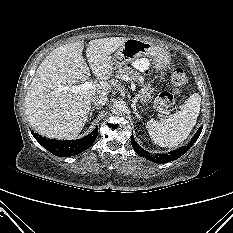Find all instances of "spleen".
<instances>
[{
	"instance_id": "spleen-1",
	"label": "spleen",
	"mask_w": 233,
	"mask_h": 233,
	"mask_svg": "<svg viewBox=\"0 0 233 233\" xmlns=\"http://www.w3.org/2000/svg\"><path fill=\"white\" fill-rule=\"evenodd\" d=\"M200 103V95L194 93L180 107V111L160 121L149 120L146 128L153 142L158 146L170 148L181 144L196 124Z\"/></svg>"
}]
</instances>
